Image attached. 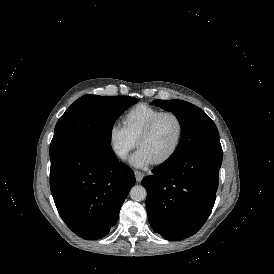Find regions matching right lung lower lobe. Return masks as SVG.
<instances>
[{"label":"right lung lower lobe","mask_w":274,"mask_h":274,"mask_svg":"<svg viewBox=\"0 0 274 274\" xmlns=\"http://www.w3.org/2000/svg\"><path fill=\"white\" fill-rule=\"evenodd\" d=\"M135 184L133 171L111 148H84L51 161L50 187L67 226L84 239H100L118 220Z\"/></svg>","instance_id":"right-lung-lower-lobe-1"}]
</instances>
